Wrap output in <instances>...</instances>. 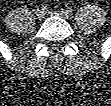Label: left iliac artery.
<instances>
[{
  "mask_svg": "<svg viewBox=\"0 0 111 106\" xmlns=\"http://www.w3.org/2000/svg\"><path fill=\"white\" fill-rule=\"evenodd\" d=\"M72 11H73V9H72L71 7H68V8L66 9V12L71 13Z\"/></svg>",
  "mask_w": 111,
  "mask_h": 106,
  "instance_id": "1",
  "label": "left iliac artery"
}]
</instances>
